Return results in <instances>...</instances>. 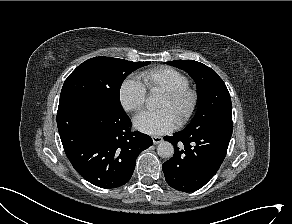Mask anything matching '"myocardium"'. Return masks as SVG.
Wrapping results in <instances>:
<instances>
[{"label": "myocardium", "instance_id": "f54148a6", "mask_svg": "<svg viewBox=\"0 0 292 224\" xmlns=\"http://www.w3.org/2000/svg\"><path fill=\"white\" fill-rule=\"evenodd\" d=\"M163 95L166 96L172 103L187 100L185 108L181 111L179 117L177 118V123L179 125L186 124L193 117L200 103L199 92L195 88L188 85L163 91Z\"/></svg>", "mask_w": 292, "mask_h": 224}]
</instances>
